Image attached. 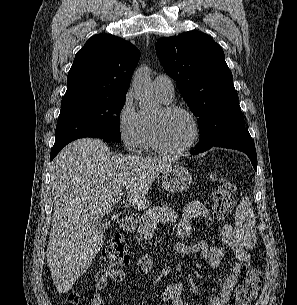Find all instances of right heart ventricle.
I'll list each match as a JSON object with an SVG mask.
<instances>
[{"label": "right heart ventricle", "mask_w": 297, "mask_h": 305, "mask_svg": "<svg viewBox=\"0 0 297 305\" xmlns=\"http://www.w3.org/2000/svg\"><path fill=\"white\" fill-rule=\"evenodd\" d=\"M160 99L164 102V103H168L169 101H166L165 99H163L160 95H159ZM143 116V122H144V127H143V134H142V139H141V145L145 148V149H151V143H150V118L147 116Z\"/></svg>", "instance_id": "right-heart-ventricle-1"}]
</instances>
